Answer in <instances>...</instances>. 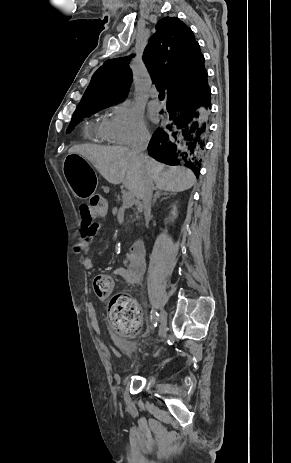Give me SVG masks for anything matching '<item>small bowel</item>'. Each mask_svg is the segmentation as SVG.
Segmentation results:
<instances>
[{"label": "small bowel", "mask_w": 291, "mask_h": 463, "mask_svg": "<svg viewBox=\"0 0 291 463\" xmlns=\"http://www.w3.org/2000/svg\"><path fill=\"white\" fill-rule=\"evenodd\" d=\"M80 216V239L75 245L76 252L83 255V265L88 270L98 267L89 256L91 244L95 236L101 230V225L95 221L100 217H95L94 211L87 214L82 207L79 211ZM145 270V261L142 256H135L131 252L126 256L125 267L118 268L114 274L131 284H139Z\"/></svg>", "instance_id": "small-bowel-1"}]
</instances>
